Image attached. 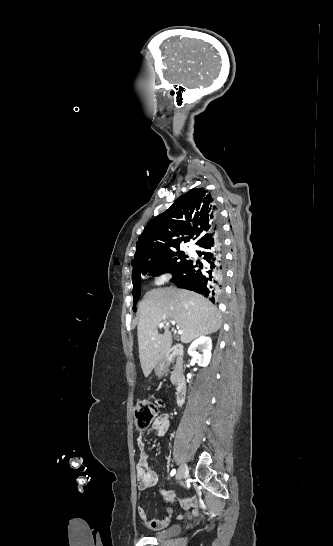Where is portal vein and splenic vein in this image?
Returning <instances> with one entry per match:
<instances>
[{
	"label": "portal vein and splenic vein",
	"instance_id": "18ae733b",
	"mask_svg": "<svg viewBox=\"0 0 333 546\" xmlns=\"http://www.w3.org/2000/svg\"><path fill=\"white\" fill-rule=\"evenodd\" d=\"M172 325H175L176 322L174 320L170 321ZM164 326L163 322L159 323V327L162 328ZM183 332L181 330L178 331V334L181 335Z\"/></svg>",
	"mask_w": 333,
	"mask_h": 546
}]
</instances>
